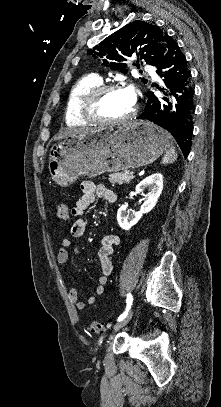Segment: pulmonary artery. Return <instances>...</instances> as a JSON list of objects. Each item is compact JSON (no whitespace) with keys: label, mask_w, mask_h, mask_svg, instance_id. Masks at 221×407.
Listing matches in <instances>:
<instances>
[{"label":"pulmonary artery","mask_w":221,"mask_h":407,"mask_svg":"<svg viewBox=\"0 0 221 407\" xmlns=\"http://www.w3.org/2000/svg\"><path fill=\"white\" fill-rule=\"evenodd\" d=\"M148 71H149L153 76H155V72H154V69H153L152 67H148ZM97 79H98L99 81H102V79H101L100 77H97Z\"/></svg>","instance_id":"1"}]
</instances>
